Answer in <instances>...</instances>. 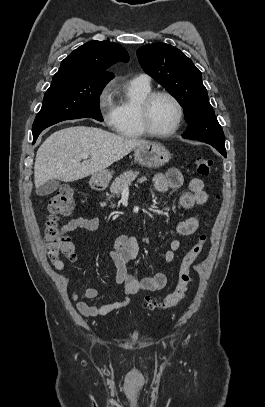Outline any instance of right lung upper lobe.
I'll return each mask as SVG.
<instances>
[{
    "label": "right lung upper lobe",
    "mask_w": 265,
    "mask_h": 407,
    "mask_svg": "<svg viewBox=\"0 0 265 407\" xmlns=\"http://www.w3.org/2000/svg\"><path fill=\"white\" fill-rule=\"evenodd\" d=\"M124 47L110 41H90L74 50L54 76L67 75L76 80L109 82L114 75L106 69L117 62H127Z\"/></svg>",
    "instance_id": "cb5924a9"
}]
</instances>
